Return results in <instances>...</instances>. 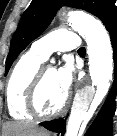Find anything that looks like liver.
<instances>
[{"label":"liver","instance_id":"1","mask_svg":"<svg viewBox=\"0 0 117 136\" xmlns=\"http://www.w3.org/2000/svg\"><path fill=\"white\" fill-rule=\"evenodd\" d=\"M4 135L3 136H47L48 133L37 128L32 123H7L3 127Z\"/></svg>","mask_w":117,"mask_h":136}]
</instances>
